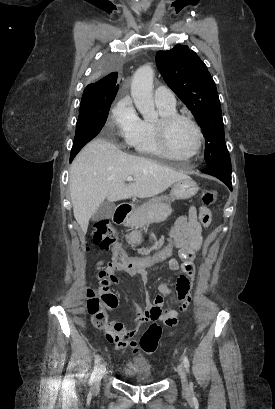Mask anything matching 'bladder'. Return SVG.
<instances>
[{
    "label": "bladder",
    "mask_w": 275,
    "mask_h": 409,
    "mask_svg": "<svg viewBox=\"0 0 275 409\" xmlns=\"http://www.w3.org/2000/svg\"><path fill=\"white\" fill-rule=\"evenodd\" d=\"M123 373L126 379L134 383L154 384L155 375L148 362L131 361L125 364Z\"/></svg>",
    "instance_id": "bladder-1"
}]
</instances>
